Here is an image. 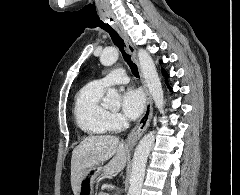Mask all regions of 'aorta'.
Returning <instances> with one entry per match:
<instances>
[{
  "label": "aorta",
  "instance_id": "aorta-1",
  "mask_svg": "<svg viewBox=\"0 0 240 195\" xmlns=\"http://www.w3.org/2000/svg\"><path fill=\"white\" fill-rule=\"evenodd\" d=\"M119 58L118 50L116 48H105L100 56V62L102 66H113ZM138 60L142 72L143 78H145L146 86L155 101L156 107L162 109L164 105V94L155 68V64L146 50H138ZM106 98L110 101H116L119 99V94L114 88L107 90ZM155 131H149L142 139H140L133 157L131 175H130V187L127 195H140L144 175L145 167L147 163V157L154 145Z\"/></svg>",
  "mask_w": 240,
  "mask_h": 195
}]
</instances>
